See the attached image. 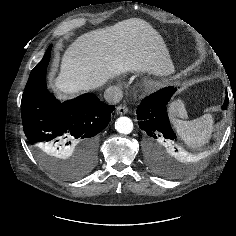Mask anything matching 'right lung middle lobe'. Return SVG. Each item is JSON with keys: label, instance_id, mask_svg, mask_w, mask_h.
Segmentation results:
<instances>
[{"label": "right lung middle lobe", "instance_id": "right-lung-middle-lobe-1", "mask_svg": "<svg viewBox=\"0 0 236 236\" xmlns=\"http://www.w3.org/2000/svg\"><path fill=\"white\" fill-rule=\"evenodd\" d=\"M35 151L41 163L51 172L56 173L62 177L77 178L87 173L94 165V162H87L81 160L76 163L73 160L67 162L58 161L56 158L50 156L41 148H36Z\"/></svg>", "mask_w": 236, "mask_h": 236}]
</instances>
